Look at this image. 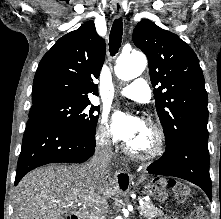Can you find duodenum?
<instances>
[{
	"label": "duodenum",
	"instance_id": "duodenum-1",
	"mask_svg": "<svg viewBox=\"0 0 221 219\" xmlns=\"http://www.w3.org/2000/svg\"><path fill=\"white\" fill-rule=\"evenodd\" d=\"M84 214L81 211H76L70 214L66 219H84Z\"/></svg>",
	"mask_w": 221,
	"mask_h": 219
}]
</instances>
